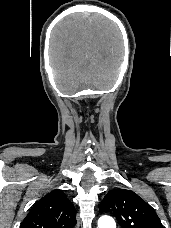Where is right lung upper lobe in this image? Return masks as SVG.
Here are the masks:
<instances>
[{"instance_id": "cb5924a9", "label": "right lung upper lobe", "mask_w": 171, "mask_h": 228, "mask_svg": "<svg viewBox=\"0 0 171 228\" xmlns=\"http://www.w3.org/2000/svg\"><path fill=\"white\" fill-rule=\"evenodd\" d=\"M76 210L62 190L41 198L23 220L20 228H73Z\"/></svg>"}]
</instances>
